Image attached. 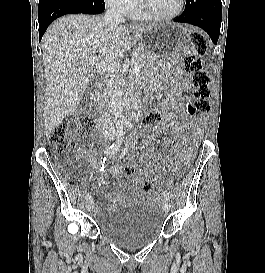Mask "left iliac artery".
I'll return each instance as SVG.
<instances>
[{
    "label": "left iliac artery",
    "instance_id": "obj_1",
    "mask_svg": "<svg viewBox=\"0 0 265 273\" xmlns=\"http://www.w3.org/2000/svg\"><path fill=\"white\" fill-rule=\"evenodd\" d=\"M125 126L129 127V128H132V124L130 122H125ZM163 197L165 199H169L170 198L169 193L167 191H164L163 192Z\"/></svg>",
    "mask_w": 265,
    "mask_h": 273
}]
</instances>
